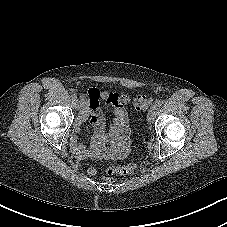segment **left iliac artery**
I'll return each mask as SVG.
<instances>
[{
	"label": "left iliac artery",
	"mask_w": 227,
	"mask_h": 227,
	"mask_svg": "<svg viewBox=\"0 0 227 227\" xmlns=\"http://www.w3.org/2000/svg\"><path fill=\"white\" fill-rule=\"evenodd\" d=\"M163 105V101L162 100H159L156 102V106L157 107H161Z\"/></svg>",
	"instance_id": "left-iliac-artery-1"
}]
</instances>
